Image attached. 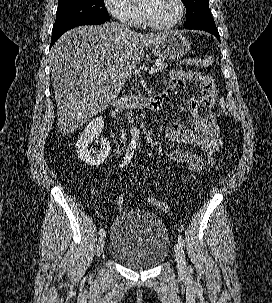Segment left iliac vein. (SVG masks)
<instances>
[{"label": "left iliac vein", "mask_w": 272, "mask_h": 303, "mask_svg": "<svg viewBox=\"0 0 272 303\" xmlns=\"http://www.w3.org/2000/svg\"><path fill=\"white\" fill-rule=\"evenodd\" d=\"M174 249L176 254L178 272L181 276H185L188 273V269H187L186 256L183 247L179 242H177L175 243Z\"/></svg>", "instance_id": "4c4485c4"}]
</instances>
